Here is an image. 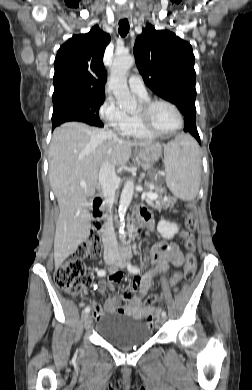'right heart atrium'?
<instances>
[{
  "label": "right heart atrium",
  "instance_id": "1",
  "mask_svg": "<svg viewBox=\"0 0 252 390\" xmlns=\"http://www.w3.org/2000/svg\"><path fill=\"white\" fill-rule=\"evenodd\" d=\"M100 117L107 126L122 137H127L131 130V118L112 99H106L99 110Z\"/></svg>",
  "mask_w": 252,
  "mask_h": 390
}]
</instances>
